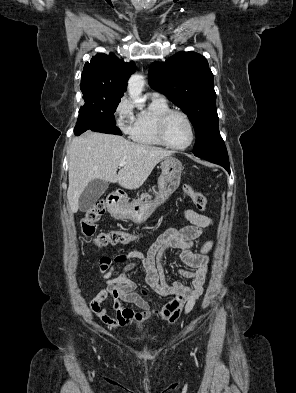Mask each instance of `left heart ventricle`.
Masks as SVG:
<instances>
[{
    "label": "left heart ventricle",
    "mask_w": 296,
    "mask_h": 393,
    "mask_svg": "<svg viewBox=\"0 0 296 393\" xmlns=\"http://www.w3.org/2000/svg\"><path fill=\"white\" fill-rule=\"evenodd\" d=\"M166 138L175 146H183L190 139V130L187 122L181 116L170 118L166 127Z\"/></svg>",
    "instance_id": "obj_1"
}]
</instances>
